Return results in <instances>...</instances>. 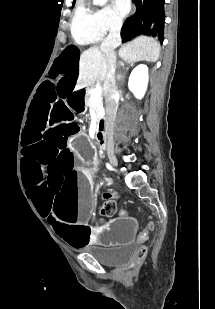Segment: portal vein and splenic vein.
Instances as JSON below:
<instances>
[{"label":"portal vein and splenic vein","mask_w":215,"mask_h":309,"mask_svg":"<svg viewBox=\"0 0 215 309\" xmlns=\"http://www.w3.org/2000/svg\"><path fill=\"white\" fill-rule=\"evenodd\" d=\"M101 92H102L101 86H96V88H94V90L92 92V96H99V94H101Z\"/></svg>","instance_id":"portal-vein-and-splenic-vein-1"}]
</instances>
